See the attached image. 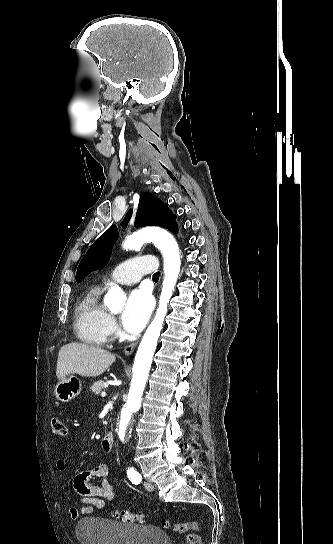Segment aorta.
Listing matches in <instances>:
<instances>
[{"instance_id":"762f6f07","label":"aorta","mask_w":333,"mask_h":544,"mask_svg":"<svg viewBox=\"0 0 333 544\" xmlns=\"http://www.w3.org/2000/svg\"><path fill=\"white\" fill-rule=\"evenodd\" d=\"M145 242H152L161 251L164 258V280L159 300V306L156 315L148 326L141 343L138 347L134 365L132 368L133 378L131 388L128 394V400L121 411L118 434L122 441L127 442L130 439V420L133 412L137 411L141 405V397L147 381L148 373L151 367L153 355L157 346L158 338L161 333L164 318L167 313V305L172 297L180 272L181 260L179 248L175 239L165 230L156 227H147L128 236L123 248L137 249ZM126 300V295L118 286H112L105 298L104 304L111 311H120Z\"/></svg>"}]
</instances>
